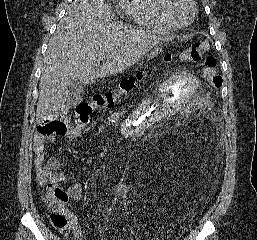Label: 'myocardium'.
I'll return each mask as SVG.
<instances>
[{"instance_id":"1","label":"myocardium","mask_w":257,"mask_h":240,"mask_svg":"<svg viewBox=\"0 0 257 240\" xmlns=\"http://www.w3.org/2000/svg\"><path fill=\"white\" fill-rule=\"evenodd\" d=\"M157 1H158V10H159L160 15L171 27H173L175 29H183V28L190 26L194 22V20L197 16L198 8H197V4H196L195 0H189V2L192 5V15H191V18L189 19V21L184 24H179V23L175 22L169 16L168 11H167V0H157Z\"/></svg>"}]
</instances>
